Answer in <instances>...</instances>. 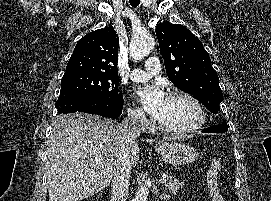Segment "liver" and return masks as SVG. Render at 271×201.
I'll use <instances>...</instances> for the list:
<instances>
[{
    "label": "liver",
    "instance_id": "obj_1",
    "mask_svg": "<svg viewBox=\"0 0 271 201\" xmlns=\"http://www.w3.org/2000/svg\"><path fill=\"white\" fill-rule=\"evenodd\" d=\"M136 142L123 145L118 122L74 113L55 118L47 144L49 201H81L108 186L122 158L139 160Z\"/></svg>",
    "mask_w": 271,
    "mask_h": 201
}]
</instances>
